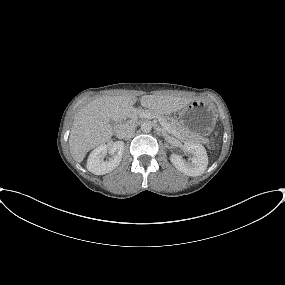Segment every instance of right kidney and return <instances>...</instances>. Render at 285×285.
Returning a JSON list of instances; mask_svg holds the SVG:
<instances>
[{"label": "right kidney", "mask_w": 285, "mask_h": 285, "mask_svg": "<svg viewBox=\"0 0 285 285\" xmlns=\"http://www.w3.org/2000/svg\"><path fill=\"white\" fill-rule=\"evenodd\" d=\"M124 151V143L121 141L115 142L108 147L106 144H101L95 148L89 155L87 160V169L95 175H103L115 169L122 160ZM107 152L111 154L109 160L104 161Z\"/></svg>", "instance_id": "right-kidney-1"}]
</instances>
